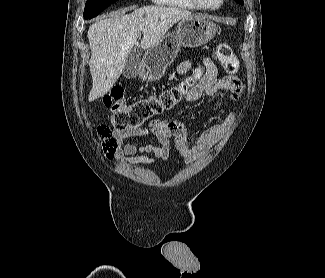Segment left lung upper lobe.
Here are the masks:
<instances>
[{"label": "left lung upper lobe", "mask_w": 325, "mask_h": 278, "mask_svg": "<svg viewBox=\"0 0 325 278\" xmlns=\"http://www.w3.org/2000/svg\"><path fill=\"white\" fill-rule=\"evenodd\" d=\"M237 3L243 5V0H235Z\"/></svg>", "instance_id": "1"}]
</instances>
